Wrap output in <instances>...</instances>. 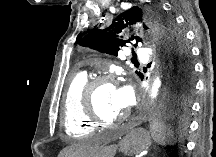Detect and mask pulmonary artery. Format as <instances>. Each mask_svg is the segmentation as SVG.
I'll return each mask as SVG.
<instances>
[{"instance_id":"pulmonary-artery-1","label":"pulmonary artery","mask_w":216,"mask_h":157,"mask_svg":"<svg viewBox=\"0 0 216 157\" xmlns=\"http://www.w3.org/2000/svg\"><path fill=\"white\" fill-rule=\"evenodd\" d=\"M136 55L141 60H147L149 58L147 51L143 48L138 49L136 51Z\"/></svg>"}]
</instances>
